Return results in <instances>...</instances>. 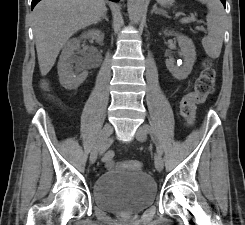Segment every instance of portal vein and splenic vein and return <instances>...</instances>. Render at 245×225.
I'll use <instances>...</instances> for the list:
<instances>
[{"instance_id": "portal-vein-and-splenic-vein-1", "label": "portal vein and splenic vein", "mask_w": 245, "mask_h": 225, "mask_svg": "<svg viewBox=\"0 0 245 225\" xmlns=\"http://www.w3.org/2000/svg\"><path fill=\"white\" fill-rule=\"evenodd\" d=\"M190 21H195L194 16H191V17H185V18H182V19H181V22H185V23L190 22ZM198 29L204 30L203 27H200V28H198Z\"/></svg>"}]
</instances>
